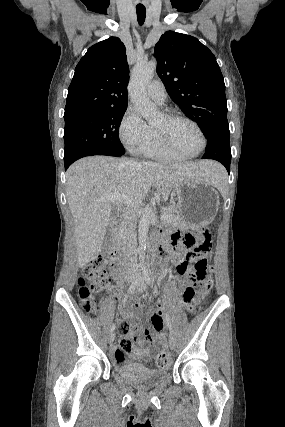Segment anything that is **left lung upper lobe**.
Wrapping results in <instances>:
<instances>
[{
	"label": "left lung upper lobe",
	"instance_id": "obj_1",
	"mask_svg": "<svg viewBox=\"0 0 285 427\" xmlns=\"http://www.w3.org/2000/svg\"><path fill=\"white\" fill-rule=\"evenodd\" d=\"M154 55L169 96L205 137L229 130L225 84L212 52L193 36L167 31L155 45Z\"/></svg>",
	"mask_w": 285,
	"mask_h": 427
}]
</instances>
